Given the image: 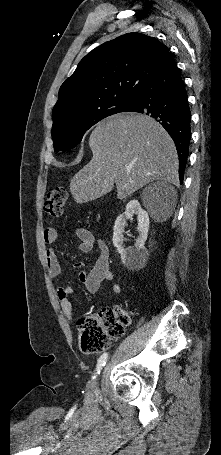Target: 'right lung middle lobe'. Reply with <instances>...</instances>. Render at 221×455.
Listing matches in <instances>:
<instances>
[{
	"label": "right lung middle lobe",
	"instance_id": "obj_1",
	"mask_svg": "<svg viewBox=\"0 0 221 455\" xmlns=\"http://www.w3.org/2000/svg\"><path fill=\"white\" fill-rule=\"evenodd\" d=\"M131 100L112 99L97 103L71 116L53 121L54 151H67L78 145L84 133L110 115L123 112Z\"/></svg>",
	"mask_w": 221,
	"mask_h": 455
}]
</instances>
